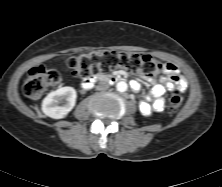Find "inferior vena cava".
I'll list each match as a JSON object with an SVG mask.
<instances>
[{
	"instance_id": "1",
	"label": "inferior vena cava",
	"mask_w": 222,
	"mask_h": 187,
	"mask_svg": "<svg viewBox=\"0 0 222 187\" xmlns=\"http://www.w3.org/2000/svg\"><path fill=\"white\" fill-rule=\"evenodd\" d=\"M96 88L99 91H104V90H107L109 88V84L106 81H100Z\"/></svg>"
}]
</instances>
